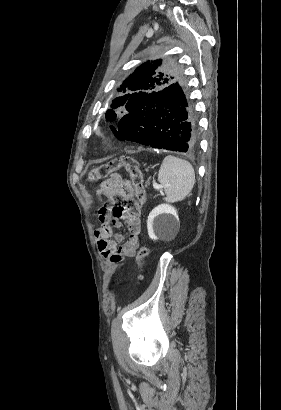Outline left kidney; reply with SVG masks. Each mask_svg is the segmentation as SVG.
I'll use <instances>...</instances> for the list:
<instances>
[{
    "label": "left kidney",
    "instance_id": "5707ae66",
    "mask_svg": "<svg viewBox=\"0 0 281 410\" xmlns=\"http://www.w3.org/2000/svg\"><path fill=\"white\" fill-rule=\"evenodd\" d=\"M178 220L179 217L175 207L169 204L158 205L148 216L147 229L149 237L153 240H157L158 237L154 231V227H157V229L173 227Z\"/></svg>",
    "mask_w": 281,
    "mask_h": 410
}]
</instances>
